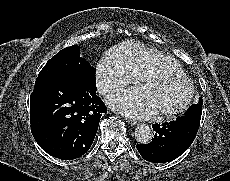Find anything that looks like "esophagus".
I'll list each match as a JSON object with an SVG mask.
<instances>
[{
	"label": "esophagus",
	"instance_id": "1",
	"mask_svg": "<svg viewBox=\"0 0 230 181\" xmlns=\"http://www.w3.org/2000/svg\"><path fill=\"white\" fill-rule=\"evenodd\" d=\"M125 120L128 124H130L131 126H134L137 124V121L130 119L129 117H125Z\"/></svg>",
	"mask_w": 230,
	"mask_h": 181
}]
</instances>
